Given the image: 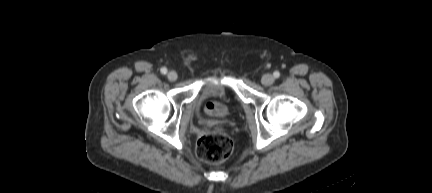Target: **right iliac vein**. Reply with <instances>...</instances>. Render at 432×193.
<instances>
[{
	"label": "right iliac vein",
	"mask_w": 432,
	"mask_h": 193,
	"mask_svg": "<svg viewBox=\"0 0 432 193\" xmlns=\"http://www.w3.org/2000/svg\"><path fill=\"white\" fill-rule=\"evenodd\" d=\"M177 77H178V75H177V73H176L175 71H170V72L167 74V78H168V80H170V81H175V80L177 79Z\"/></svg>",
	"instance_id": "obj_1"
}]
</instances>
